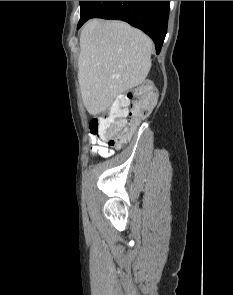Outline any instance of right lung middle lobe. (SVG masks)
<instances>
[{
	"label": "right lung middle lobe",
	"mask_w": 233,
	"mask_h": 295,
	"mask_svg": "<svg viewBox=\"0 0 233 295\" xmlns=\"http://www.w3.org/2000/svg\"><path fill=\"white\" fill-rule=\"evenodd\" d=\"M89 1H80V17L82 16Z\"/></svg>",
	"instance_id": "1"
}]
</instances>
